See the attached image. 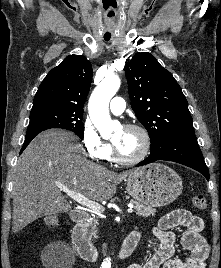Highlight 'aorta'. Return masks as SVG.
<instances>
[{
  "mask_svg": "<svg viewBox=\"0 0 221 268\" xmlns=\"http://www.w3.org/2000/svg\"><path fill=\"white\" fill-rule=\"evenodd\" d=\"M120 85L121 81L118 76H108L94 89L89 99L90 118L103 138H108L116 126L109 114V102Z\"/></svg>",
  "mask_w": 221,
  "mask_h": 268,
  "instance_id": "1",
  "label": "aorta"
}]
</instances>
